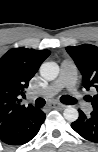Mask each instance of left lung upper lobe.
<instances>
[{
  "label": "left lung upper lobe",
  "instance_id": "5c2ea615",
  "mask_svg": "<svg viewBox=\"0 0 98 152\" xmlns=\"http://www.w3.org/2000/svg\"><path fill=\"white\" fill-rule=\"evenodd\" d=\"M68 54L74 60L82 74V84L86 90L97 92L93 97L87 96L93 111L98 112V47L90 44L66 47Z\"/></svg>",
  "mask_w": 98,
  "mask_h": 152
}]
</instances>
